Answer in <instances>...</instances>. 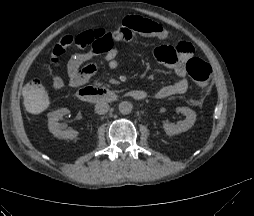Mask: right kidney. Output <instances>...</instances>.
I'll return each instance as SVG.
<instances>
[{
  "instance_id": "1",
  "label": "right kidney",
  "mask_w": 254,
  "mask_h": 216,
  "mask_svg": "<svg viewBox=\"0 0 254 216\" xmlns=\"http://www.w3.org/2000/svg\"><path fill=\"white\" fill-rule=\"evenodd\" d=\"M69 113L67 108H61L48 114V128L49 131L59 139H74L78 136L76 130H62L61 124L58 120Z\"/></svg>"
}]
</instances>
